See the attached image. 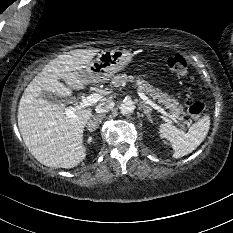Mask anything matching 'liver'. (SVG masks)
I'll return each instance as SVG.
<instances>
[{
  "label": "liver",
  "mask_w": 233,
  "mask_h": 233,
  "mask_svg": "<svg viewBox=\"0 0 233 233\" xmlns=\"http://www.w3.org/2000/svg\"><path fill=\"white\" fill-rule=\"evenodd\" d=\"M97 52L80 49L59 55L29 83L20 99V133L31 154L45 166L73 168L86 157L83 132L92 110L79 109L69 117L64 104L53 103L41 95L49 92L65 99L72 95L71 89H84L92 82L84 77V70Z\"/></svg>",
  "instance_id": "obj_1"
}]
</instances>
